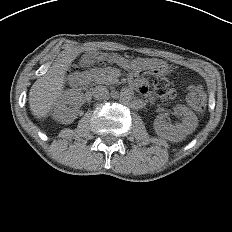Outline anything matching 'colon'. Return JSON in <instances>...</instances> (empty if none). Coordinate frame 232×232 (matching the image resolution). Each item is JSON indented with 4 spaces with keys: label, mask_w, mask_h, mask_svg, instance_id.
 I'll return each instance as SVG.
<instances>
[{
    "label": "colon",
    "mask_w": 232,
    "mask_h": 232,
    "mask_svg": "<svg viewBox=\"0 0 232 232\" xmlns=\"http://www.w3.org/2000/svg\"><path fill=\"white\" fill-rule=\"evenodd\" d=\"M76 66L71 67V72H75ZM154 89L161 98L173 95V84L164 74L158 73L154 78ZM187 99L189 104L197 112H203L206 106V94L202 86L192 85L188 89Z\"/></svg>",
    "instance_id": "1"
}]
</instances>
